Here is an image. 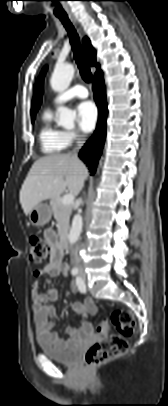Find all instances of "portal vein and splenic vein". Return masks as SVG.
<instances>
[{
  "label": "portal vein and splenic vein",
  "instance_id": "obj_1",
  "mask_svg": "<svg viewBox=\"0 0 168 406\" xmlns=\"http://www.w3.org/2000/svg\"><path fill=\"white\" fill-rule=\"evenodd\" d=\"M73 201H74V195L73 194H67L62 198L61 203L63 205H69V204H72Z\"/></svg>",
  "mask_w": 168,
  "mask_h": 406
}]
</instances>
